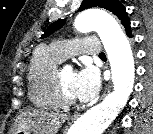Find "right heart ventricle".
Instances as JSON below:
<instances>
[{
  "instance_id": "1",
  "label": "right heart ventricle",
  "mask_w": 153,
  "mask_h": 134,
  "mask_svg": "<svg viewBox=\"0 0 153 134\" xmlns=\"http://www.w3.org/2000/svg\"><path fill=\"white\" fill-rule=\"evenodd\" d=\"M62 60L50 47L39 46L30 60L27 80L31 102L39 107L58 108L62 105L55 88V70Z\"/></svg>"
}]
</instances>
